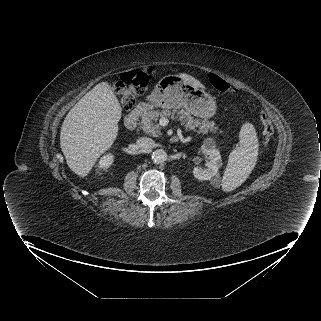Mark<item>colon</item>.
<instances>
[{
    "mask_svg": "<svg viewBox=\"0 0 321 321\" xmlns=\"http://www.w3.org/2000/svg\"><path fill=\"white\" fill-rule=\"evenodd\" d=\"M153 73L151 68L143 71L125 72L116 86V93L121 97L122 105L125 109H129L137 95L144 92L148 85L149 77ZM210 84L219 92L235 95L236 90L231 85L216 74L209 75ZM260 120L263 126L266 144L270 141L274 134V127L269 116L265 112H261Z\"/></svg>",
    "mask_w": 321,
    "mask_h": 321,
    "instance_id": "5ec220e1",
    "label": "colon"
}]
</instances>
